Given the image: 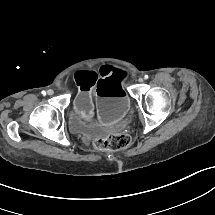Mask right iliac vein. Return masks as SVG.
<instances>
[{"instance_id": "1", "label": "right iliac vein", "mask_w": 215, "mask_h": 215, "mask_svg": "<svg viewBox=\"0 0 215 215\" xmlns=\"http://www.w3.org/2000/svg\"><path fill=\"white\" fill-rule=\"evenodd\" d=\"M47 94L51 96V95L54 94V91L52 89H50V90L47 91Z\"/></svg>"}]
</instances>
